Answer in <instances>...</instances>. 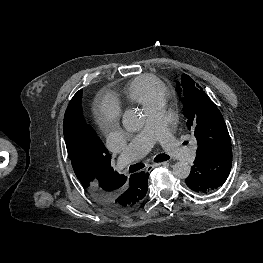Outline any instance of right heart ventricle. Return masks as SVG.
Returning <instances> with one entry per match:
<instances>
[{
	"label": "right heart ventricle",
	"instance_id": "right-heart-ventricle-1",
	"mask_svg": "<svg viewBox=\"0 0 263 263\" xmlns=\"http://www.w3.org/2000/svg\"><path fill=\"white\" fill-rule=\"evenodd\" d=\"M124 93L128 100L140 104L147 110L165 99L167 89L157 77L143 75L132 79L125 87Z\"/></svg>",
	"mask_w": 263,
	"mask_h": 263
}]
</instances>
